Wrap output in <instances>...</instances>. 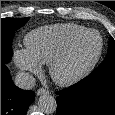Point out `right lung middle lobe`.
Segmentation results:
<instances>
[{
  "label": "right lung middle lobe",
  "mask_w": 115,
  "mask_h": 115,
  "mask_svg": "<svg viewBox=\"0 0 115 115\" xmlns=\"http://www.w3.org/2000/svg\"><path fill=\"white\" fill-rule=\"evenodd\" d=\"M29 20L27 18L1 19V63L5 64L11 59V41L16 29L22 27Z\"/></svg>",
  "instance_id": "1"
}]
</instances>
